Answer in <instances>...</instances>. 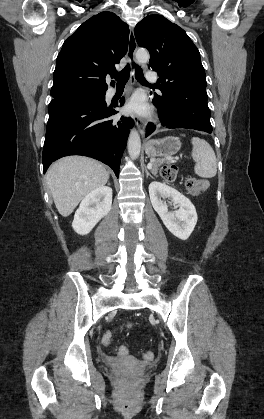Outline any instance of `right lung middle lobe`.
I'll list each match as a JSON object with an SVG mask.
<instances>
[{"instance_id": "1", "label": "right lung middle lobe", "mask_w": 264, "mask_h": 419, "mask_svg": "<svg viewBox=\"0 0 264 419\" xmlns=\"http://www.w3.org/2000/svg\"><path fill=\"white\" fill-rule=\"evenodd\" d=\"M105 91L106 90H77V91H70L62 93L53 100H67V99H77V98H96V99H103L105 98Z\"/></svg>"}]
</instances>
